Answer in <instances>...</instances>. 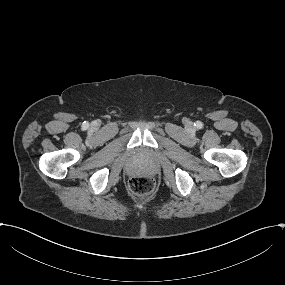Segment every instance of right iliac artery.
Listing matches in <instances>:
<instances>
[{"mask_svg": "<svg viewBox=\"0 0 285 285\" xmlns=\"http://www.w3.org/2000/svg\"><path fill=\"white\" fill-rule=\"evenodd\" d=\"M88 126H89L88 123H86V122L83 123V127H84V128H87Z\"/></svg>", "mask_w": 285, "mask_h": 285, "instance_id": "right-iliac-artery-1", "label": "right iliac artery"}]
</instances>
